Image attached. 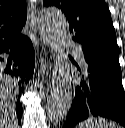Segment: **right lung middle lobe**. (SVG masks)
<instances>
[{"mask_svg":"<svg viewBox=\"0 0 125 128\" xmlns=\"http://www.w3.org/2000/svg\"><path fill=\"white\" fill-rule=\"evenodd\" d=\"M0 75L3 76L2 78L9 80V82L13 85V79L11 77L5 75L2 71H0Z\"/></svg>","mask_w":125,"mask_h":128,"instance_id":"right-lung-middle-lobe-1","label":"right lung middle lobe"}]
</instances>
